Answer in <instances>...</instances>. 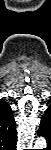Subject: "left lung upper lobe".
Returning <instances> with one entry per match:
<instances>
[{
  "instance_id": "obj_1",
  "label": "left lung upper lobe",
  "mask_w": 51,
  "mask_h": 150,
  "mask_svg": "<svg viewBox=\"0 0 51 150\" xmlns=\"http://www.w3.org/2000/svg\"><path fill=\"white\" fill-rule=\"evenodd\" d=\"M41 136L45 137L49 140L51 136V107L49 106L48 109L45 111L43 119L41 120L40 127L38 130Z\"/></svg>"
}]
</instances>
